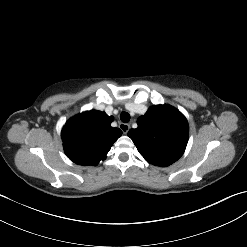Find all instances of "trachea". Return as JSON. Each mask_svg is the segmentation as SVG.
<instances>
[{
    "label": "trachea",
    "instance_id": "3493384b",
    "mask_svg": "<svg viewBox=\"0 0 247 247\" xmlns=\"http://www.w3.org/2000/svg\"><path fill=\"white\" fill-rule=\"evenodd\" d=\"M120 119L122 122L127 123L130 120V115L127 112H122L120 115Z\"/></svg>",
    "mask_w": 247,
    "mask_h": 247
}]
</instances>
